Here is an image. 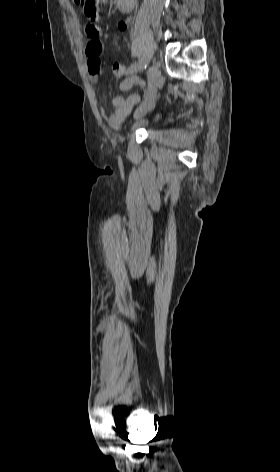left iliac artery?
Instances as JSON below:
<instances>
[{"label": "left iliac artery", "mask_w": 280, "mask_h": 472, "mask_svg": "<svg viewBox=\"0 0 280 472\" xmlns=\"http://www.w3.org/2000/svg\"><path fill=\"white\" fill-rule=\"evenodd\" d=\"M145 66H146L145 59H141L139 62L134 63V64H132L131 66L128 67L127 75H132L133 73H136V72L140 71Z\"/></svg>", "instance_id": "1"}]
</instances>
